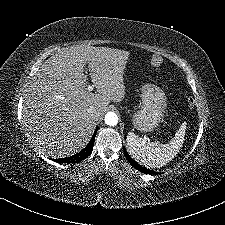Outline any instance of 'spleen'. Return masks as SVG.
Listing matches in <instances>:
<instances>
[{"mask_svg": "<svg viewBox=\"0 0 225 225\" xmlns=\"http://www.w3.org/2000/svg\"><path fill=\"white\" fill-rule=\"evenodd\" d=\"M184 133L178 131L169 144L142 141L141 138L129 132L126 138L130 155L147 168H160L176 155L181 145Z\"/></svg>", "mask_w": 225, "mask_h": 225, "instance_id": "obj_1", "label": "spleen"}]
</instances>
